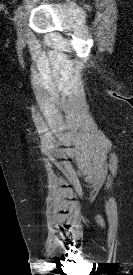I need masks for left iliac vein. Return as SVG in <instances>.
<instances>
[{
	"mask_svg": "<svg viewBox=\"0 0 133 275\" xmlns=\"http://www.w3.org/2000/svg\"><path fill=\"white\" fill-rule=\"evenodd\" d=\"M16 28L20 42H24L26 39V28L23 13L16 19Z\"/></svg>",
	"mask_w": 133,
	"mask_h": 275,
	"instance_id": "obj_1",
	"label": "left iliac vein"
}]
</instances>
